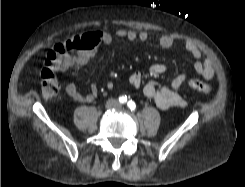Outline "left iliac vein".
Returning a JSON list of instances; mask_svg holds the SVG:
<instances>
[{
  "mask_svg": "<svg viewBox=\"0 0 245 187\" xmlns=\"http://www.w3.org/2000/svg\"><path fill=\"white\" fill-rule=\"evenodd\" d=\"M116 108L117 109H122V105L118 104Z\"/></svg>",
  "mask_w": 245,
  "mask_h": 187,
  "instance_id": "left-iliac-vein-1",
  "label": "left iliac vein"
}]
</instances>
